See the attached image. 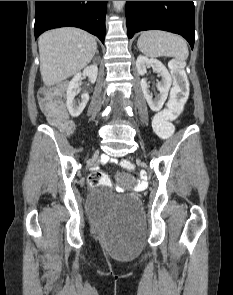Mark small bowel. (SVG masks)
Returning a JSON list of instances; mask_svg holds the SVG:
<instances>
[{"label": "small bowel", "instance_id": "small-bowel-1", "mask_svg": "<svg viewBox=\"0 0 233 295\" xmlns=\"http://www.w3.org/2000/svg\"><path fill=\"white\" fill-rule=\"evenodd\" d=\"M111 161H112V162H116V160H114V159L111 160ZM118 190L121 191L122 189H121V188H118Z\"/></svg>", "mask_w": 233, "mask_h": 295}]
</instances>
